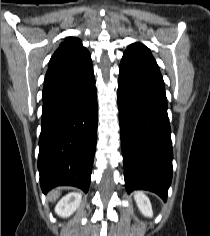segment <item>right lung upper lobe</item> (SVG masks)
Listing matches in <instances>:
<instances>
[{
  "label": "right lung upper lobe",
  "instance_id": "right-lung-upper-lobe-1",
  "mask_svg": "<svg viewBox=\"0 0 210 236\" xmlns=\"http://www.w3.org/2000/svg\"><path fill=\"white\" fill-rule=\"evenodd\" d=\"M91 63L90 53L82 42L68 37L51 57L44 82L72 73Z\"/></svg>",
  "mask_w": 210,
  "mask_h": 236
}]
</instances>
